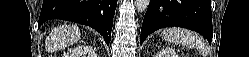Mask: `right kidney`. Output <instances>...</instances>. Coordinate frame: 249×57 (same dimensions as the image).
<instances>
[{
    "label": "right kidney",
    "instance_id": "1",
    "mask_svg": "<svg viewBox=\"0 0 249 57\" xmlns=\"http://www.w3.org/2000/svg\"><path fill=\"white\" fill-rule=\"evenodd\" d=\"M78 53L73 52V53H68L67 55H64L65 57H75L77 56Z\"/></svg>",
    "mask_w": 249,
    "mask_h": 57
}]
</instances>
